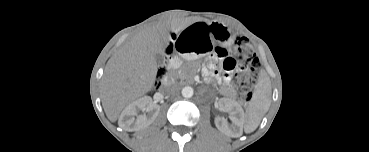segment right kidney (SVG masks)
I'll list each match as a JSON object with an SVG mask.
<instances>
[{"mask_svg": "<svg viewBox=\"0 0 369 152\" xmlns=\"http://www.w3.org/2000/svg\"><path fill=\"white\" fill-rule=\"evenodd\" d=\"M140 111H145L139 115ZM159 105L152 103V98L149 96L142 97L129 104L121 113V120L132 127L134 130H140L149 126L157 117Z\"/></svg>", "mask_w": 369, "mask_h": 152, "instance_id": "right-kidney-1", "label": "right kidney"}]
</instances>
